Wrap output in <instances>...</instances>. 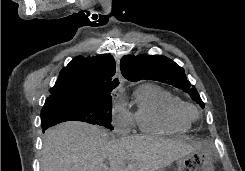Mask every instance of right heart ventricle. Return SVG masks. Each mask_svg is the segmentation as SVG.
Listing matches in <instances>:
<instances>
[{
  "label": "right heart ventricle",
  "mask_w": 245,
  "mask_h": 171,
  "mask_svg": "<svg viewBox=\"0 0 245 171\" xmlns=\"http://www.w3.org/2000/svg\"><path fill=\"white\" fill-rule=\"evenodd\" d=\"M181 100L162 87L146 83L135 92L133 123L142 133L173 134L186 132L190 122L177 112Z\"/></svg>",
  "instance_id": "e07e8e85"
}]
</instances>
